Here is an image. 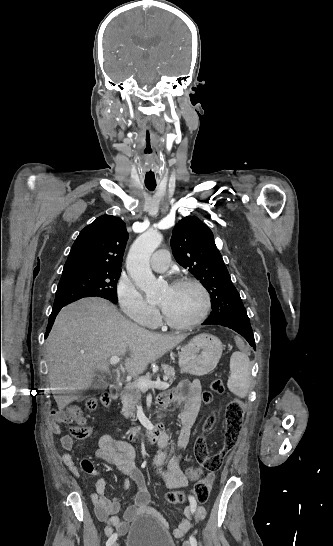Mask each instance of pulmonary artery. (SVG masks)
Masks as SVG:
<instances>
[{"instance_id": "obj_1", "label": "pulmonary artery", "mask_w": 333, "mask_h": 546, "mask_svg": "<svg viewBox=\"0 0 333 546\" xmlns=\"http://www.w3.org/2000/svg\"><path fill=\"white\" fill-rule=\"evenodd\" d=\"M170 264V253L167 250L156 251L150 260V266L154 271L164 272Z\"/></svg>"}]
</instances>
